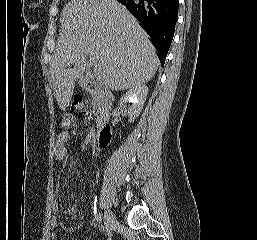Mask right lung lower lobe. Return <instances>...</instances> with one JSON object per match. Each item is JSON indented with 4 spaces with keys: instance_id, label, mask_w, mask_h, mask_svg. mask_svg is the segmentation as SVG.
<instances>
[{
    "instance_id": "right-lung-lower-lobe-1",
    "label": "right lung lower lobe",
    "mask_w": 257,
    "mask_h": 240,
    "mask_svg": "<svg viewBox=\"0 0 257 240\" xmlns=\"http://www.w3.org/2000/svg\"><path fill=\"white\" fill-rule=\"evenodd\" d=\"M140 22L152 39L162 66L178 19L179 0H117Z\"/></svg>"
}]
</instances>
